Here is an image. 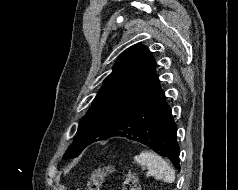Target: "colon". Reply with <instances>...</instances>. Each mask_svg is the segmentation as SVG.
Here are the masks:
<instances>
[{"label": "colon", "mask_w": 238, "mask_h": 190, "mask_svg": "<svg viewBox=\"0 0 238 190\" xmlns=\"http://www.w3.org/2000/svg\"><path fill=\"white\" fill-rule=\"evenodd\" d=\"M113 171L114 169L109 165H100L94 168L87 180L86 190H100L106 177ZM122 180L123 190H140L139 180L135 173L124 171Z\"/></svg>", "instance_id": "colon-1"}]
</instances>
